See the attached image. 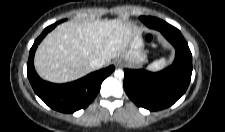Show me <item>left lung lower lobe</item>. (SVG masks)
I'll return each mask as SVG.
<instances>
[{"mask_svg":"<svg viewBox=\"0 0 225 132\" xmlns=\"http://www.w3.org/2000/svg\"><path fill=\"white\" fill-rule=\"evenodd\" d=\"M149 28L160 31L175 47L176 57L166 69L152 73L125 69L124 89L138 106L157 111L174 104L187 90L192 74V54L178 29L155 17H146Z\"/></svg>","mask_w":225,"mask_h":132,"instance_id":"0a47b994","label":"left lung lower lobe"}]
</instances>
